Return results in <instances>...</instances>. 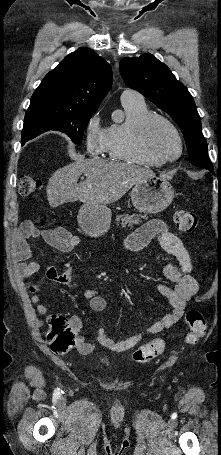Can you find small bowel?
<instances>
[{"label": "small bowel", "instance_id": "1", "mask_svg": "<svg viewBox=\"0 0 221 455\" xmlns=\"http://www.w3.org/2000/svg\"><path fill=\"white\" fill-rule=\"evenodd\" d=\"M31 238H42L49 246L63 253L71 252L80 242L79 237L64 227L57 226L40 229L31 222L23 223L19 228L16 254L21 276L25 279L41 269L38 262H28L31 256L28 240ZM153 241H156L178 261V265L164 263L162 266L164 276L173 283V287L164 284H158L157 286L158 291L169 301L171 311L151 325L146 332L122 340L107 336L104 326L101 325L96 332V339L102 346L111 351L122 352L129 350L140 343L146 336L158 334L172 327L184 316L187 302L198 292V283L191 275L193 268L191 256L180 238L169 231L163 222L154 220L137 229L125 240L123 249L131 252L138 251ZM46 276L49 280L69 288L76 286L72 282L73 273L69 265L63 273H59L53 266H48L46 267ZM29 289L33 293L31 301L36 306L37 312L42 315L47 314L49 308L43 304L42 297L38 294V286L30 284ZM83 297L90 301V307L95 312H102L106 308V300L98 290L87 289L83 292ZM70 321L74 330L79 332L82 328L80 318L73 316ZM93 349V344L86 342L82 337L79 338L78 351L81 354H89Z\"/></svg>", "mask_w": 221, "mask_h": 455}]
</instances>
